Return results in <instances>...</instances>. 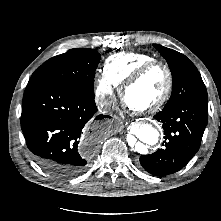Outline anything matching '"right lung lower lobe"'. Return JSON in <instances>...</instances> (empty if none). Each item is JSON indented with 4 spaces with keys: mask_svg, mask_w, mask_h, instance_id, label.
I'll return each mask as SVG.
<instances>
[{
    "mask_svg": "<svg viewBox=\"0 0 221 221\" xmlns=\"http://www.w3.org/2000/svg\"><path fill=\"white\" fill-rule=\"evenodd\" d=\"M96 112L92 97L42 79L28 83L22 101L21 128L38 165L58 178L83 173L94 153L93 149H81L84 126H93L96 133L104 119L111 118Z\"/></svg>",
    "mask_w": 221,
    "mask_h": 221,
    "instance_id": "98d812e1",
    "label": "right lung lower lobe"
}]
</instances>
